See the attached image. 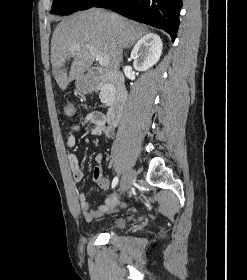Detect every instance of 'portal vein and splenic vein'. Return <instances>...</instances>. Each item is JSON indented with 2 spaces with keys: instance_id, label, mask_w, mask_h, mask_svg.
Segmentation results:
<instances>
[{
  "instance_id": "18ae733b",
  "label": "portal vein and splenic vein",
  "mask_w": 247,
  "mask_h": 280,
  "mask_svg": "<svg viewBox=\"0 0 247 280\" xmlns=\"http://www.w3.org/2000/svg\"><path fill=\"white\" fill-rule=\"evenodd\" d=\"M87 49L90 51V53L96 58V60L99 62V64L103 67H106L109 65V57L107 55H103L101 53H99L96 49L86 46ZM79 45H76L74 47H72V51H76L79 50Z\"/></svg>"
}]
</instances>
